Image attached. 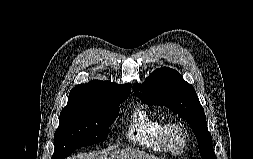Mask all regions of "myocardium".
<instances>
[{"label": "myocardium", "instance_id": "f54148a6", "mask_svg": "<svg viewBox=\"0 0 253 159\" xmlns=\"http://www.w3.org/2000/svg\"><path fill=\"white\" fill-rule=\"evenodd\" d=\"M173 133H178L180 135L182 143L179 149L173 148L172 145L170 144V136ZM161 142L164 149H166L171 154L173 155L182 154L187 145V134L184 126L177 121L166 122L162 128Z\"/></svg>", "mask_w": 253, "mask_h": 159}]
</instances>
